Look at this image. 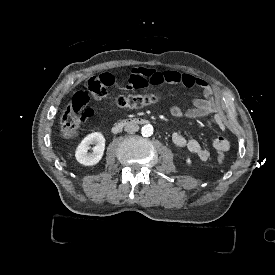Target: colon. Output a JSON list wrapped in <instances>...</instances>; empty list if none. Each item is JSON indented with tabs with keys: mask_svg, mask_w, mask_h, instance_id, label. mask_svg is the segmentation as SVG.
<instances>
[{
	"mask_svg": "<svg viewBox=\"0 0 275 275\" xmlns=\"http://www.w3.org/2000/svg\"><path fill=\"white\" fill-rule=\"evenodd\" d=\"M85 86L89 88L94 97L105 101L107 95L104 93L107 90L99 77H86ZM88 92L84 90L77 91L72 97L70 103L62 112L60 120V131L63 136L68 138L77 137L80 134L82 124L94 115L93 108L89 105ZM158 101V95H130L117 97L113 99V103L120 108H138L154 104ZM215 160L219 164H225L227 157L222 153H216Z\"/></svg>",
	"mask_w": 275,
	"mask_h": 275,
	"instance_id": "obj_1",
	"label": "colon"
}]
</instances>
